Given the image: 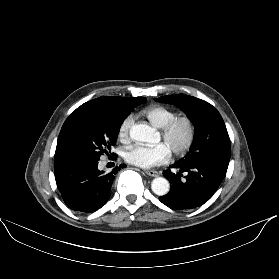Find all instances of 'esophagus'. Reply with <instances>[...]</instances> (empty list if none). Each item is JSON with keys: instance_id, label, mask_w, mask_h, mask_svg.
<instances>
[{"instance_id": "34e87169", "label": "esophagus", "mask_w": 279, "mask_h": 279, "mask_svg": "<svg viewBox=\"0 0 279 279\" xmlns=\"http://www.w3.org/2000/svg\"><path fill=\"white\" fill-rule=\"evenodd\" d=\"M145 173L151 177H157L159 176V173L155 170H145Z\"/></svg>"}]
</instances>
